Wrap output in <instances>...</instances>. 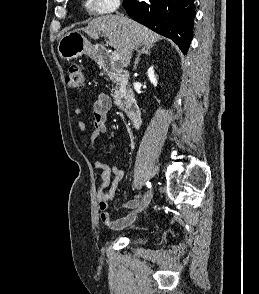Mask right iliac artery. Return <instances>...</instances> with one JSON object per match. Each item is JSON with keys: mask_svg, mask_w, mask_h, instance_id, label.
I'll list each match as a JSON object with an SVG mask.
<instances>
[{"mask_svg": "<svg viewBox=\"0 0 259 294\" xmlns=\"http://www.w3.org/2000/svg\"><path fill=\"white\" fill-rule=\"evenodd\" d=\"M146 185L151 188V183L150 182H146Z\"/></svg>", "mask_w": 259, "mask_h": 294, "instance_id": "1", "label": "right iliac artery"}]
</instances>
